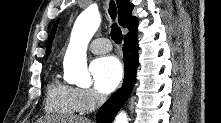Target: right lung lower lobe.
Instances as JSON below:
<instances>
[{
  "instance_id": "98d812e1",
  "label": "right lung lower lobe",
  "mask_w": 221,
  "mask_h": 123,
  "mask_svg": "<svg viewBox=\"0 0 221 123\" xmlns=\"http://www.w3.org/2000/svg\"><path fill=\"white\" fill-rule=\"evenodd\" d=\"M137 35L124 37L123 59L125 65V79L122 88L116 91L97 114L98 123H112L115 115L123 106L135 84L138 61Z\"/></svg>"
}]
</instances>
